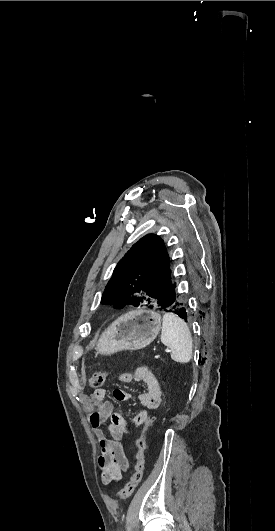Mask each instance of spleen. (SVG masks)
I'll return each instance as SVG.
<instances>
[{"label":"spleen","instance_id":"spleen-1","mask_svg":"<svg viewBox=\"0 0 275 531\" xmlns=\"http://www.w3.org/2000/svg\"><path fill=\"white\" fill-rule=\"evenodd\" d=\"M161 341L171 350V359L176 363H189L193 341L184 319L174 313H165L162 319Z\"/></svg>","mask_w":275,"mask_h":531}]
</instances>
